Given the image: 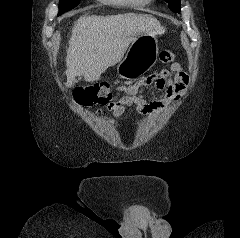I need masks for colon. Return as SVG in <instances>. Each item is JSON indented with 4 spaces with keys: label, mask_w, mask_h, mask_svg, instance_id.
<instances>
[{
    "label": "colon",
    "mask_w": 240,
    "mask_h": 238,
    "mask_svg": "<svg viewBox=\"0 0 240 238\" xmlns=\"http://www.w3.org/2000/svg\"><path fill=\"white\" fill-rule=\"evenodd\" d=\"M175 58L176 54L173 50L166 49L160 53V60L163 63H171ZM73 96L77 104L92 106L95 104H107L111 100L112 94L107 83H94L77 87Z\"/></svg>",
    "instance_id": "colon-1"
}]
</instances>
